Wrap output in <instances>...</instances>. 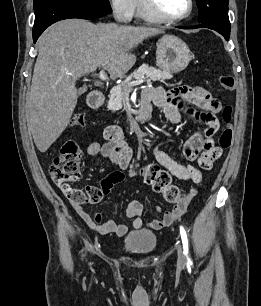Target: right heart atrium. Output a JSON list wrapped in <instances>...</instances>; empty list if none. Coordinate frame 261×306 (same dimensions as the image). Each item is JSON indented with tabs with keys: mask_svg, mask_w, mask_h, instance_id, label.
Segmentation results:
<instances>
[{
	"mask_svg": "<svg viewBox=\"0 0 261 306\" xmlns=\"http://www.w3.org/2000/svg\"><path fill=\"white\" fill-rule=\"evenodd\" d=\"M114 16L123 22L131 20L135 10V0H109Z\"/></svg>",
	"mask_w": 261,
	"mask_h": 306,
	"instance_id": "d8ad5b80",
	"label": "right heart atrium"
}]
</instances>
